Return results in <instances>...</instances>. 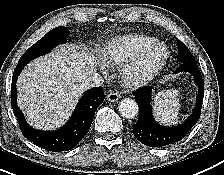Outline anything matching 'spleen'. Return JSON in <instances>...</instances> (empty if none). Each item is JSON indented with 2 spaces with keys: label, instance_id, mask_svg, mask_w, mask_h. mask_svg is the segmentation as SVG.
<instances>
[{
  "label": "spleen",
  "instance_id": "1",
  "mask_svg": "<svg viewBox=\"0 0 224 175\" xmlns=\"http://www.w3.org/2000/svg\"><path fill=\"white\" fill-rule=\"evenodd\" d=\"M178 91H161L154 97V113L160 122L174 123L178 120L180 102Z\"/></svg>",
  "mask_w": 224,
  "mask_h": 175
}]
</instances>
